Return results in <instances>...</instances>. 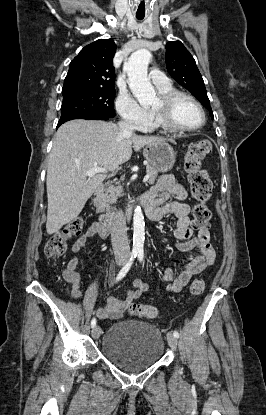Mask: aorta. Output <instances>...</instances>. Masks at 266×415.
Masks as SVG:
<instances>
[{
	"label": "aorta",
	"mask_w": 266,
	"mask_h": 415,
	"mask_svg": "<svg viewBox=\"0 0 266 415\" xmlns=\"http://www.w3.org/2000/svg\"><path fill=\"white\" fill-rule=\"evenodd\" d=\"M151 56L149 50L139 49L133 52L124 63L129 87L142 106L150 105L156 97L155 90L147 78V69ZM133 231V250L142 251L145 240V222L139 206L134 210Z\"/></svg>",
	"instance_id": "aorta-1"
}]
</instances>
